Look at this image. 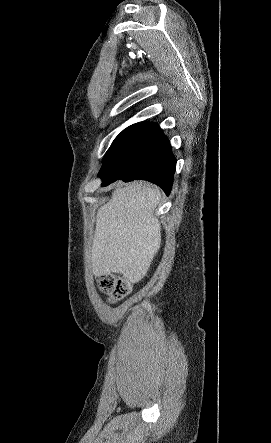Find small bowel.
<instances>
[{
	"mask_svg": "<svg viewBox=\"0 0 271 443\" xmlns=\"http://www.w3.org/2000/svg\"><path fill=\"white\" fill-rule=\"evenodd\" d=\"M116 300H117V299H115V298H113V297H110V296L108 297V301L111 302V303L116 302Z\"/></svg>",
	"mask_w": 271,
	"mask_h": 443,
	"instance_id": "c3829d8e",
	"label": "small bowel"
}]
</instances>
